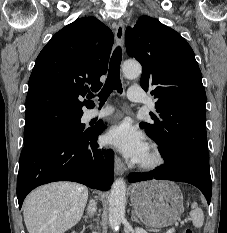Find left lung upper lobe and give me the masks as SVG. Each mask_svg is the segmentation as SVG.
<instances>
[{
  "instance_id": "left-lung-upper-lobe-1",
  "label": "left lung upper lobe",
  "mask_w": 227,
  "mask_h": 233,
  "mask_svg": "<svg viewBox=\"0 0 227 233\" xmlns=\"http://www.w3.org/2000/svg\"><path fill=\"white\" fill-rule=\"evenodd\" d=\"M129 56L143 66L141 86L157 99L153 123H142L164 159L189 149L208 158L206 93L194 52L175 30L144 16L125 35Z\"/></svg>"
}]
</instances>
